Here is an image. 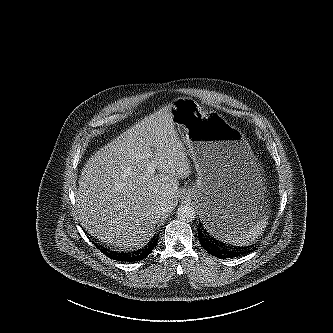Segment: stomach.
I'll list each match as a JSON object with an SVG mask.
<instances>
[{
    "label": "stomach",
    "instance_id": "1",
    "mask_svg": "<svg viewBox=\"0 0 333 333\" xmlns=\"http://www.w3.org/2000/svg\"><path fill=\"white\" fill-rule=\"evenodd\" d=\"M173 124L185 142L197 171L187 195L200 208L212 235L238 242L266 222L265 184L260 164L244 134L220 115H207L192 98L171 104Z\"/></svg>",
    "mask_w": 333,
    "mask_h": 333
}]
</instances>
